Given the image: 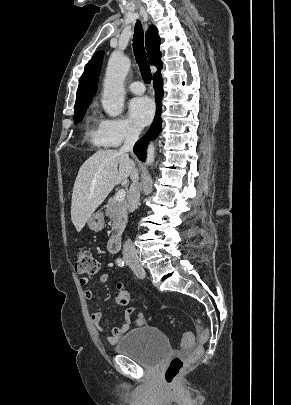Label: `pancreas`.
<instances>
[{
	"label": "pancreas",
	"mask_w": 291,
	"mask_h": 405,
	"mask_svg": "<svg viewBox=\"0 0 291 405\" xmlns=\"http://www.w3.org/2000/svg\"><path fill=\"white\" fill-rule=\"evenodd\" d=\"M105 214L112 221L113 235L121 234L127 223L126 203L110 198L106 205Z\"/></svg>",
	"instance_id": "1"
}]
</instances>
